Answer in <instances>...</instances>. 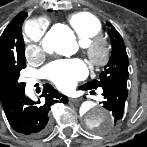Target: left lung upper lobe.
I'll return each instance as SVG.
<instances>
[{"mask_svg": "<svg viewBox=\"0 0 147 147\" xmlns=\"http://www.w3.org/2000/svg\"><path fill=\"white\" fill-rule=\"evenodd\" d=\"M108 25V31L112 44V56L106 69L101 72L98 79L92 80L83 86L89 89H97L101 87L102 84L116 80V79H128V56L126 53V48L124 41L118 31L110 24Z\"/></svg>", "mask_w": 147, "mask_h": 147, "instance_id": "5c2ea615", "label": "left lung upper lobe"}]
</instances>
